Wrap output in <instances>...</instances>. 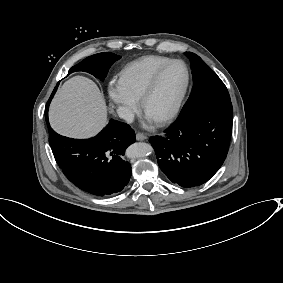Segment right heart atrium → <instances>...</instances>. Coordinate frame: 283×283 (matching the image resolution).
<instances>
[{"label":"right heart atrium","mask_w":283,"mask_h":283,"mask_svg":"<svg viewBox=\"0 0 283 283\" xmlns=\"http://www.w3.org/2000/svg\"><path fill=\"white\" fill-rule=\"evenodd\" d=\"M107 94L124 119H129L136 111L138 107L137 101L133 100L126 93L119 79H111L109 81Z\"/></svg>","instance_id":"1"}]
</instances>
